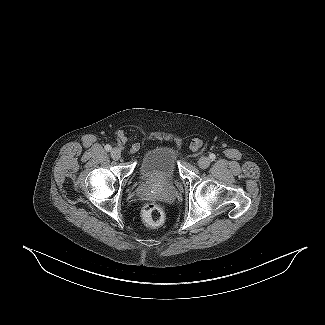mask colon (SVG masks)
I'll list each match as a JSON object with an SVG mask.
<instances>
[{
	"instance_id": "colon-1",
	"label": "colon",
	"mask_w": 325,
	"mask_h": 325,
	"mask_svg": "<svg viewBox=\"0 0 325 325\" xmlns=\"http://www.w3.org/2000/svg\"><path fill=\"white\" fill-rule=\"evenodd\" d=\"M195 148L199 147V143L193 144ZM142 217L150 226H158L164 220V211L162 207L156 203H148L142 209Z\"/></svg>"
}]
</instances>
